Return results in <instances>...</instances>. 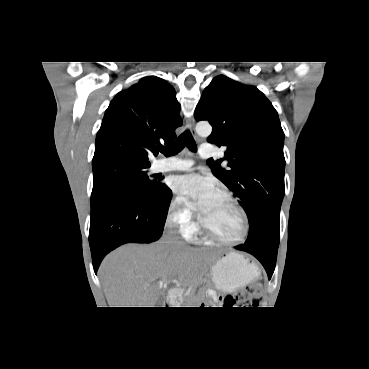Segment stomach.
<instances>
[{"instance_id": "1", "label": "stomach", "mask_w": 369, "mask_h": 369, "mask_svg": "<svg viewBox=\"0 0 369 369\" xmlns=\"http://www.w3.org/2000/svg\"><path fill=\"white\" fill-rule=\"evenodd\" d=\"M258 268L243 256L231 252L217 260L211 269L212 280L216 288L231 293L251 282Z\"/></svg>"}]
</instances>
